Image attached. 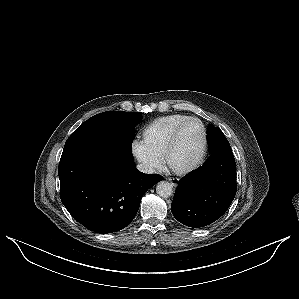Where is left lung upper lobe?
<instances>
[{
	"instance_id": "left-lung-upper-lobe-1",
	"label": "left lung upper lobe",
	"mask_w": 299,
	"mask_h": 299,
	"mask_svg": "<svg viewBox=\"0 0 299 299\" xmlns=\"http://www.w3.org/2000/svg\"><path fill=\"white\" fill-rule=\"evenodd\" d=\"M208 142L209 146L220 148V149H231L228 140L226 139L223 132L212 124L208 127Z\"/></svg>"
}]
</instances>
